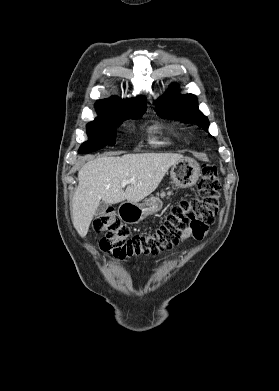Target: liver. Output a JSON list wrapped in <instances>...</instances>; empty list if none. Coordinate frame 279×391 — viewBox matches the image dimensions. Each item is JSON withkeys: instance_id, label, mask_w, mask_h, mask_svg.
<instances>
[{"instance_id": "liver-1", "label": "liver", "mask_w": 279, "mask_h": 391, "mask_svg": "<svg viewBox=\"0 0 279 391\" xmlns=\"http://www.w3.org/2000/svg\"><path fill=\"white\" fill-rule=\"evenodd\" d=\"M183 155L141 153L89 160L78 172V188L71 203L72 222L85 237L100 201L138 203L158 187L169 168ZM124 180H134L123 190Z\"/></svg>"}]
</instances>
